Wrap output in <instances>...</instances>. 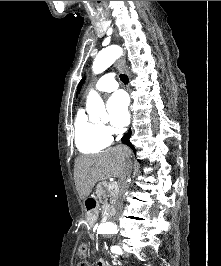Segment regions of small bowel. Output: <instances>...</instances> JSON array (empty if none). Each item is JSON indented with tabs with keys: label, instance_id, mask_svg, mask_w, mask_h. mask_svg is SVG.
<instances>
[{
	"label": "small bowel",
	"instance_id": "c3829d8e",
	"mask_svg": "<svg viewBox=\"0 0 221 266\" xmlns=\"http://www.w3.org/2000/svg\"><path fill=\"white\" fill-rule=\"evenodd\" d=\"M97 266H108L104 260H99Z\"/></svg>",
	"mask_w": 221,
	"mask_h": 266
}]
</instances>
